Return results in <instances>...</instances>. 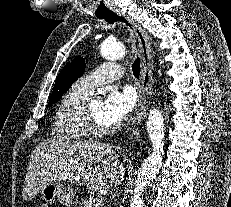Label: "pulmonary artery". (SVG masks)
<instances>
[{
  "mask_svg": "<svg viewBox=\"0 0 231 207\" xmlns=\"http://www.w3.org/2000/svg\"><path fill=\"white\" fill-rule=\"evenodd\" d=\"M123 72L124 70L120 65L104 63L79 78L76 82V86L80 90L90 94L95 87L119 79L123 75Z\"/></svg>",
  "mask_w": 231,
  "mask_h": 207,
  "instance_id": "1",
  "label": "pulmonary artery"
}]
</instances>
